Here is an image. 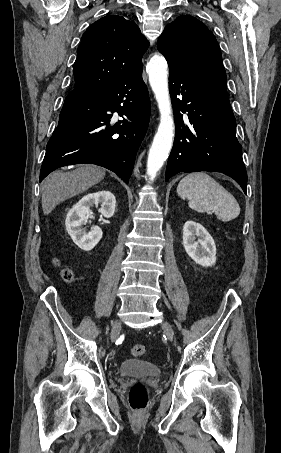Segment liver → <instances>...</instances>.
I'll return each mask as SVG.
<instances>
[{
	"instance_id": "1",
	"label": "liver",
	"mask_w": 281,
	"mask_h": 453,
	"mask_svg": "<svg viewBox=\"0 0 281 453\" xmlns=\"http://www.w3.org/2000/svg\"><path fill=\"white\" fill-rule=\"evenodd\" d=\"M106 168L95 164H79L70 172H51L42 184V208L44 214L52 212L53 208L66 198L85 192L94 184L103 180Z\"/></svg>"
}]
</instances>
